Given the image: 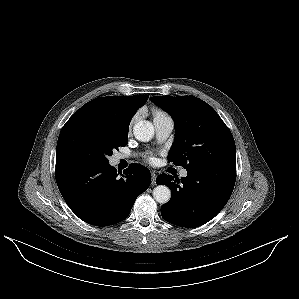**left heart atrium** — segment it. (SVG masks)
<instances>
[{
    "instance_id": "39dd6f15",
    "label": "left heart atrium",
    "mask_w": 299,
    "mask_h": 299,
    "mask_svg": "<svg viewBox=\"0 0 299 299\" xmlns=\"http://www.w3.org/2000/svg\"><path fill=\"white\" fill-rule=\"evenodd\" d=\"M153 160V158H150V161H152Z\"/></svg>"
}]
</instances>
